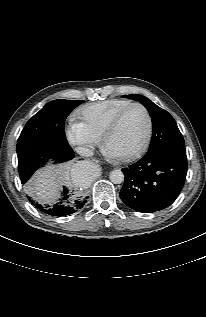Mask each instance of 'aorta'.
<instances>
[{
  "label": "aorta",
  "mask_w": 206,
  "mask_h": 317,
  "mask_svg": "<svg viewBox=\"0 0 206 317\" xmlns=\"http://www.w3.org/2000/svg\"><path fill=\"white\" fill-rule=\"evenodd\" d=\"M95 166L91 163H85L79 171V178L89 180L95 174ZM110 181L114 184H121L124 181V174L121 170H113L109 175Z\"/></svg>",
  "instance_id": "762f6f07"
}]
</instances>
